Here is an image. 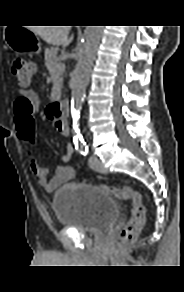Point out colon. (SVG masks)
<instances>
[{
    "instance_id": "colon-1",
    "label": "colon",
    "mask_w": 184,
    "mask_h": 292,
    "mask_svg": "<svg viewBox=\"0 0 184 292\" xmlns=\"http://www.w3.org/2000/svg\"><path fill=\"white\" fill-rule=\"evenodd\" d=\"M10 71L15 77L17 85L21 89H25L35 74L36 65L32 61L14 58L10 63ZM14 107L16 124L24 137L33 145L35 142V116L39 108V99L33 92L24 91L15 100ZM102 188L120 200L131 202V219L120 232V242L124 245L133 243L146 224V208L141 194L130 186H102Z\"/></svg>"
}]
</instances>
